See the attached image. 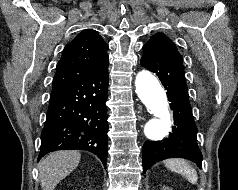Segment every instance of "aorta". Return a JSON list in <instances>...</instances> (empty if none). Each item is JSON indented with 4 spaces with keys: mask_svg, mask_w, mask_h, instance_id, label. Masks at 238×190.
Returning <instances> with one entry per match:
<instances>
[{
    "mask_svg": "<svg viewBox=\"0 0 238 190\" xmlns=\"http://www.w3.org/2000/svg\"><path fill=\"white\" fill-rule=\"evenodd\" d=\"M136 94L153 116L144 127L145 136L151 141L166 137L171 127L167 96L158 79L149 71H140L135 79Z\"/></svg>",
    "mask_w": 238,
    "mask_h": 190,
    "instance_id": "762f6f07",
    "label": "aorta"
}]
</instances>
